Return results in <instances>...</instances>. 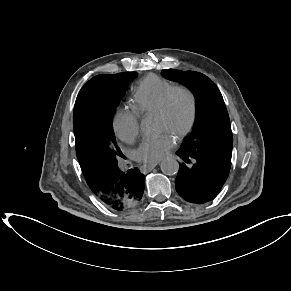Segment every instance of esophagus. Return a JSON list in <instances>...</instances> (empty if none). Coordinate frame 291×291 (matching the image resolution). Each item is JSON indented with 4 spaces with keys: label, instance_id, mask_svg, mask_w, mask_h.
Wrapping results in <instances>:
<instances>
[{
    "label": "esophagus",
    "instance_id": "34e87169",
    "mask_svg": "<svg viewBox=\"0 0 291 291\" xmlns=\"http://www.w3.org/2000/svg\"><path fill=\"white\" fill-rule=\"evenodd\" d=\"M158 164H159V161L154 162V163H148V164H145L144 167H145V169H147V170H151V169H153L154 167H156Z\"/></svg>",
    "mask_w": 291,
    "mask_h": 291
}]
</instances>
